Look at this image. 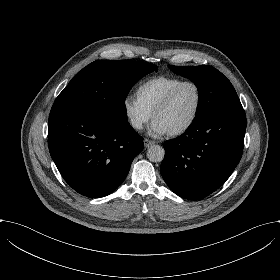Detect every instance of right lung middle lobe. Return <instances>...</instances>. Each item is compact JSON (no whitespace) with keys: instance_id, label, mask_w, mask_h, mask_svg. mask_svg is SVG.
<instances>
[{"instance_id":"right-lung-middle-lobe-1","label":"right lung middle lobe","mask_w":280,"mask_h":280,"mask_svg":"<svg viewBox=\"0 0 280 280\" xmlns=\"http://www.w3.org/2000/svg\"><path fill=\"white\" fill-rule=\"evenodd\" d=\"M158 67L138 61L97 60L79 71L54 105H74L104 117L127 120L125 99L133 85Z\"/></svg>"}]
</instances>
